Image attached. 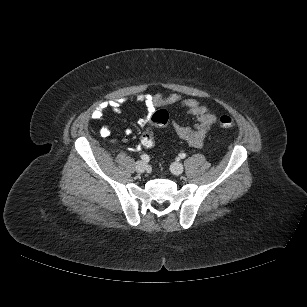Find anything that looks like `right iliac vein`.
<instances>
[{
  "label": "right iliac vein",
  "mask_w": 307,
  "mask_h": 307,
  "mask_svg": "<svg viewBox=\"0 0 307 307\" xmlns=\"http://www.w3.org/2000/svg\"><path fill=\"white\" fill-rule=\"evenodd\" d=\"M147 164L143 161H138L136 162L135 164V170L138 172V173H143L147 170Z\"/></svg>",
  "instance_id": "obj_1"
}]
</instances>
